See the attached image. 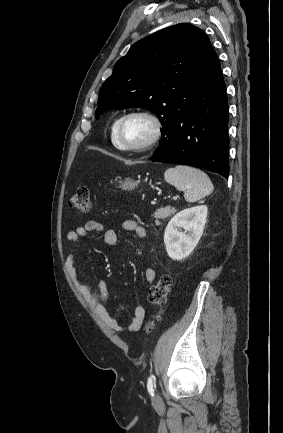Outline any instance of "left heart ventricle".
I'll return each instance as SVG.
<instances>
[{
  "instance_id": "b2bd125f",
  "label": "left heart ventricle",
  "mask_w": 283,
  "mask_h": 433,
  "mask_svg": "<svg viewBox=\"0 0 283 433\" xmlns=\"http://www.w3.org/2000/svg\"><path fill=\"white\" fill-rule=\"evenodd\" d=\"M153 133V124L143 116L127 119L121 130V140L127 145H136L147 141Z\"/></svg>"
}]
</instances>
